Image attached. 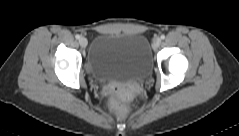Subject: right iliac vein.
<instances>
[{"instance_id": "right-iliac-vein-1", "label": "right iliac vein", "mask_w": 239, "mask_h": 136, "mask_svg": "<svg viewBox=\"0 0 239 136\" xmlns=\"http://www.w3.org/2000/svg\"><path fill=\"white\" fill-rule=\"evenodd\" d=\"M79 44H80V46H82V47H86L87 44H88V41H87V39H86L85 37H81V38L79 39Z\"/></svg>"}]
</instances>
